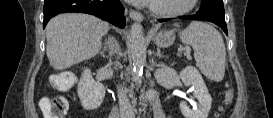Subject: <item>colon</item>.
<instances>
[{"instance_id": "obj_1", "label": "colon", "mask_w": 273, "mask_h": 118, "mask_svg": "<svg viewBox=\"0 0 273 118\" xmlns=\"http://www.w3.org/2000/svg\"><path fill=\"white\" fill-rule=\"evenodd\" d=\"M53 83L58 88H64L70 85V80L54 77ZM232 98V91H228L225 103L229 104L232 101ZM40 109L45 118H63L66 112V101L61 96L45 97L40 101Z\"/></svg>"}]
</instances>
